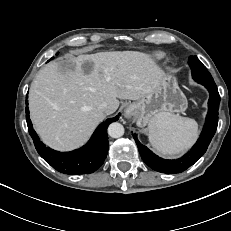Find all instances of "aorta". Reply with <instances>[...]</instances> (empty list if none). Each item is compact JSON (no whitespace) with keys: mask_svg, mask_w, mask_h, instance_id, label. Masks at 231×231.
I'll list each match as a JSON object with an SVG mask.
<instances>
[{"mask_svg":"<svg viewBox=\"0 0 231 231\" xmlns=\"http://www.w3.org/2000/svg\"><path fill=\"white\" fill-rule=\"evenodd\" d=\"M108 134L112 138H119V137L123 136V134H124L123 125L120 123H117V122L111 123L108 127Z\"/></svg>","mask_w":231,"mask_h":231,"instance_id":"762f6f07","label":"aorta"}]
</instances>
